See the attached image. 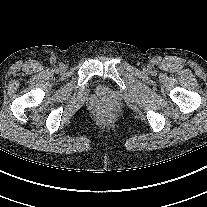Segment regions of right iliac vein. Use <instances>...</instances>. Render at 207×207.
Returning <instances> with one entry per match:
<instances>
[{
	"instance_id": "right-iliac-vein-1",
	"label": "right iliac vein",
	"mask_w": 207,
	"mask_h": 207,
	"mask_svg": "<svg viewBox=\"0 0 207 207\" xmlns=\"http://www.w3.org/2000/svg\"><path fill=\"white\" fill-rule=\"evenodd\" d=\"M61 69H65V66L64 65H61Z\"/></svg>"
}]
</instances>
